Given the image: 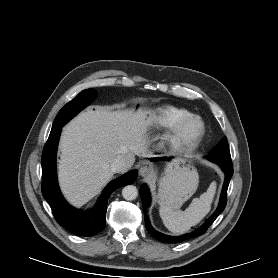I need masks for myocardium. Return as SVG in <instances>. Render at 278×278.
Returning a JSON list of instances; mask_svg holds the SVG:
<instances>
[{
	"mask_svg": "<svg viewBox=\"0 0 278 278\" xmlns=\"http://www.w3.org/2000/svg\"><path fill=\"white\" fill-rule=\"evenodd\" d=\"M198 125L197 132L190 138H184L185 128L191 124ZM206 132L204 121L195 114H190L181 119L170 131L166 138L169 149L176 154H186L194 151L201 143Z\"/></svg>",
	"mask_w": 278,
	"mask_h": 278,
	"instance_id": "obj_1",
	"label": "myocardium"
}]
</instances>
